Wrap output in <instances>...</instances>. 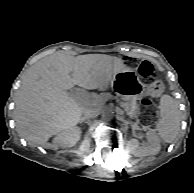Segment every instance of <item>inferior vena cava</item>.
Listing matches in <instances>:
<instances>
[{"mask_svg": "<svg viewBox=\"0 0 194 193\" xmlns=\"http://www.w3.org/2000/svg\"><path fill=\"white\" fill-rule=\"evenodd\" d=\"M98 111L96 109H88L86 112H85V115H84V120H91L95 117L98 116Z\"/></svg>", "mask_w": 194, "mask_h": 193, "instance_id": "1", "label": "inferior vena cava"}]
</instances>
